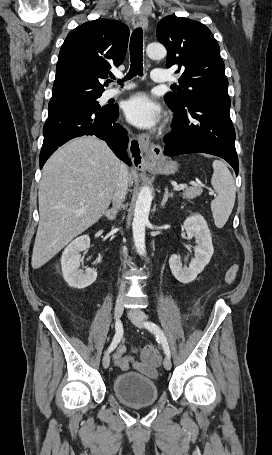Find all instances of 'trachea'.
Wrapping results in <instances>:
<instances>
[{
	"label": "trachea",
	"mask_w": 272,
	"mask_h": 455,
	"mask_svg": "<svg viewBox=\"0 0 272 455\" xmlns=\"http://www.w3.org/2000/svg\"><path fill=\"white\" fill-rule=\"evenodd\" d=\"M130 70L125 79H131L134 76L143 74V31L142 28H136L130 39ZM112 79H115L112 76ZM123 85L122 81L118 82Z\"/></svg>",
	"instance_id": "3493384b"
}]
</instances>
